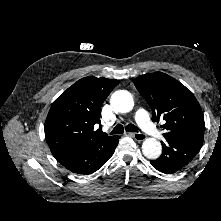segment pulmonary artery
Masks as SVG:
<instances>
[{"label": "pulmonary artery", "mask_w": 221, "mask_h": 221, "mask_svg": "<svg viewBox=\"0 0 221 221\" xmlns=\"http://www.w3.org/2000/svg\"><path fill=\"white\" fill-rule=\"evenodd\" d=\"M135 120L139 127L148 135L154 138H160L162 133L150 121L148 114L144 109H138L135 114Z\"/></svg>", "instance_id": "obj_1"}]
</instances>
